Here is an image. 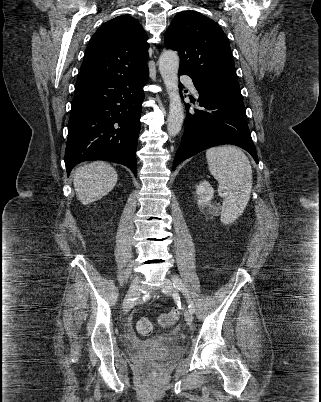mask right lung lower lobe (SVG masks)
<instances>
[{"label":"right lung lower lobe","instance_id":"98d812e1","mask_svg":"<svg viewBox=\"0 0 321 402\" xmlns=\"http://www.w3.org/2000/svg\"><path fill=\"white\" fill-rule=\"evenodd\" d=\"M147 80L148 71L75 85L65 151L68 175L78 163L100 159L124 164L136 176L143 87Z\"/></svg>","mask_w":321,"mask_h":402}]
</instances>
